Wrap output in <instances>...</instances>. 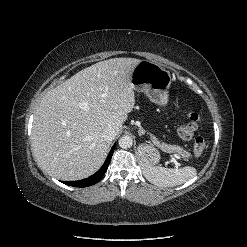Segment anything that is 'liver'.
<instances>
[{
	"mask_svg": "<svg viewBox=\"0 0 247 247\" xmlns=\"http://www.w3.org/2000/svg\"><path fill=\"white\" fill-rule=\"evenodd\" d=\"M141 60L112 58L87 67L50 90L36 109L32 149L38 165L60 180H80L103 164L111 141L135 105L133 69Z\"/></svg>",
	"mask_w": 247,
	"mask_h": 247,
	"instance_id": "1",
	"label": "liver"
}]
</instances>
